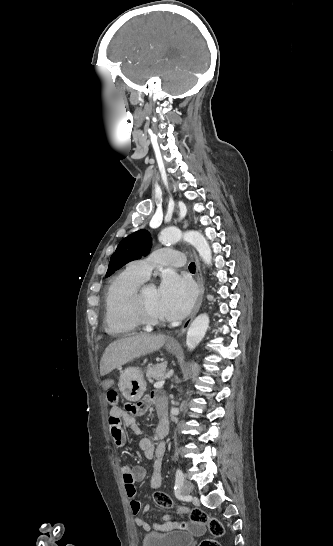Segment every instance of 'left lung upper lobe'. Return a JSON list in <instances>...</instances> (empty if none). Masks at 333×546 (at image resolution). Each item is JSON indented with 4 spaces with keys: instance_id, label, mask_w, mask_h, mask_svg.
Masks as SVG:
<instances>
[{
    "instance_id": "5c2ea615",
    "label": "left lung upper lobe",
    "mask_w": 333,
    "mask_h": 546,
    "mask_svg": "<svg viewBox=\"0 0 333 546\" xmlns=\"http://www.w3.org/2000/svg\"><path fill=\"white\" fill-rule=\"evenodd\" d=\"M151 245L152 240L146 230L137 231L121 240L115 253L111 256L106 276H110L128 262L146 256Z\"/></svg>"
}]
</instances>
